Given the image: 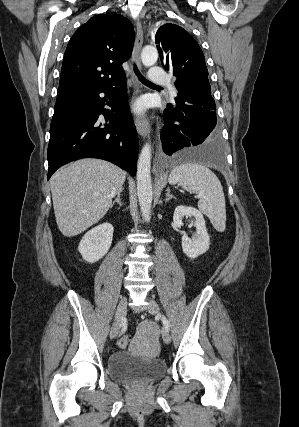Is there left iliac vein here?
I'll return each mask as SVG.
<instances>
[{
    "label": "left iliac vein",
    "instance_id": "1",
    "mask_svg": "<svg viewBox=\"0 0 299 427\" xmlns=\"http://www.w3.org/2000/svg\"><path fill=\"white\" fill-rule=\"evenodd\" d=\"M147 310L152 315H159L160 312L158 304L153 299L148 300ZM162 339L166 344L171 342L170 333L165 327L162 329Z\"/></svg>",
    "mask_w": 299,
    "mask_h": 427
}]
</instances>
